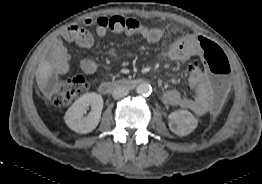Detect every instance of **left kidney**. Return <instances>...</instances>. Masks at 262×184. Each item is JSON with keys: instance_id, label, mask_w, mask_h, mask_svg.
<instances>
[{"instance_id": "1", "label": "left kidney", "mask_w": 262, "mask_h": 184, "mask_svg": "<svg viewBox=\"0 0 262 184\" xmlns=\"http://www.w3.org/2000/svg\"><path fill=\"white\" fill-rule=\"evenodd\" d=\"M170 130L182 137L190 134L198 125V120L187 110H177L169 115Z\"/></svg>"}]
</instances>
